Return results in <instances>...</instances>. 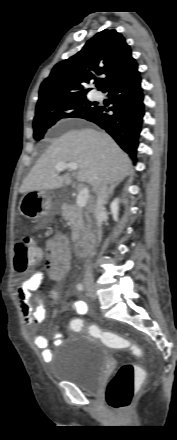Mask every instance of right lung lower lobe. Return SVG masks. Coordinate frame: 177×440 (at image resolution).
<instances>
[{"label":"right lung lower lobe","instance_id":"1","mask_svg":"<svg viewBox=\"0 0 177 440\" xmlns=\"http://www.w3.org/2000/svg\"><path fill=\"white\" fill-rule=\"evenodd\" d=\"M103 92L109 93L112 107L96 108L83 118L105 129L126 151L134 162L144 116V95L138 66L110 84ZM113 111V114H108Z\"/></svg>","mask_w":177,"mask_h":440}]
</instances>
